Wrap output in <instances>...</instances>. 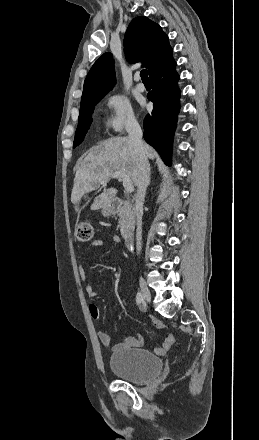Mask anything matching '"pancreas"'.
Segmentation results:
<instances>
[{"instance_id": "obj_1", "label": "pancreas", "mask_w": 259, "mask_h": 440, "mask_svg": "<svg viewBox=\"0 0 259 440\" xmlns=\"http://www.w3.org/2000/svg\"><path fill=\"white\" fill-rule=\"evenodd\" d=\"M135 210L128 201H123L119 210V226L121 235L126 238L134 229Z\"/></svg>"}]
</instances>
